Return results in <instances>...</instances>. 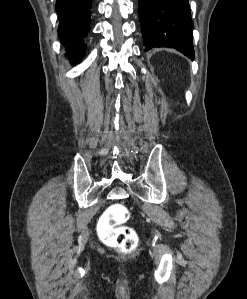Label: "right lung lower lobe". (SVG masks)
I'll return each instance as SVG.
<instances>
[{"instance_id":"right-lung-lower-lobe-1","label":"right lung lower lobe","mask_w":247,"mask_h":299,"mask_svg":"<svg viewBox=\"0 0 247 299\" xmlns=\"http://www.w3.org/2000/svg\"><path fill=\"white\" fill-rule=\"evenodd\" d=\"M92 0H57L58 34L72 64L79 63L85 54L84 39L88 34Z\"/></svg>"}]
</instances>
